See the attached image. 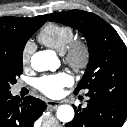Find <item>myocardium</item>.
<instances>
[{"instance_id": "obj_1", "label": "myocardium", "mask_w": 127, "mask_h": 127, "mask_svg": "<svg viewBox=\"0 0 127 127\" xmlns=\"http://www.w3.org/2000/svg\"><path fill=\"white\" fill-rule=\"evenodd\" d=\"M63 60L76 72H83L91 60L89 42L85 38H73L63 53Z\"/></svg>"}]
</instances>
